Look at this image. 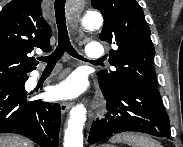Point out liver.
Listing matches in <instances>:
<instances>
[{
  "label": "liver",
  "instance_id": "1",
  "mask_svg": "<svg viewBox=\"0 0 183 147\" xmlns=\"http://www.w3.org/2000/svg\"><path fill=\"white\" fill-rule=\"evenodd\" d=\"M0 147H33V144L20 136L0 135Z\"/></svg>",
  "mask_w": 183,
  "mask_h": 147
}]
</instances>
